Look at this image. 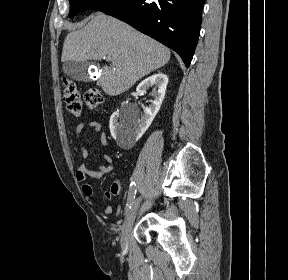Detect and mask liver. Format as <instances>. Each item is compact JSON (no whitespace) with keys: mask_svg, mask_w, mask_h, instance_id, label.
Segmentation results:
<instances>
[{"mask_svg":"<svg viewBox=\"0 0 288 280\" xmlns=\"http://www.w3.org/2000/svg\"><path fill=\"white\" fill-rule=\"evenodd\" d=\"M170 55V50L161 43L114 17L97 12L86 26L66 36L61 61H100L109 56L111 65L103 66L97 85L106 94L116 96L166 65Z\"/></svg>","mask_w":288,"mask_h":280,"instance_id":"6515ba94","label":"liver"}]
</instances>
